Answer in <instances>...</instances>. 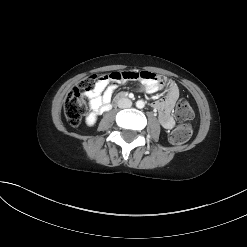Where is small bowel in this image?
<instances>
[{
  "mask_svg": "<svg viewBox=\"0 0 247 247\" xmlns=\"http://www.w3.org/2000/svg\"><path fill=\"white\" fill-rule=\"evenodd\" d=\"M140 81L148 94L156 93L166 88V96L154 102L153 107L159 113V122L165 129H172L175 125L172 111L179 98V88L171 80L160 79L152 70L127 69L109 72L101 75L93 89L86 93L90 108L95 113H103L111 108V99L117 84L123 82Z\"/></svg>",
  "mask_w": 247,
  "mask_h": 247,
  "instance_id": "obj_1",
  "label": "small bowel"
}]
</instances>
